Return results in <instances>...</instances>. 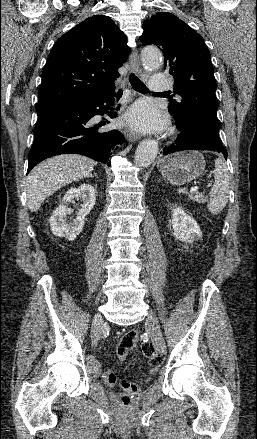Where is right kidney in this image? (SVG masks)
<instances>
[{
  "instance_id": "obj_1",
  "label": "right kidney",
  "mask_w": 257,
  "mask_h": 439,
  "mask_svg": "<svg viewBox=\"0 0 257 439\" xmlns=\"http://www.w3.org/2000/svg\"><path fill=\"white\" fill-rule=\"evenodd\" d=\"M74 199L83 202L81 205L82 208L77 213L76 219H74L73 222H68L67 215H70L73 212V210L68 207V204L74 203ZM95 201L96 194L92 185L82 184L78 188H70L49 219L52 233L55 236L73 241L77 235L82 232L85 217L93 209Z\"/></svg>"
}]
</instances>
